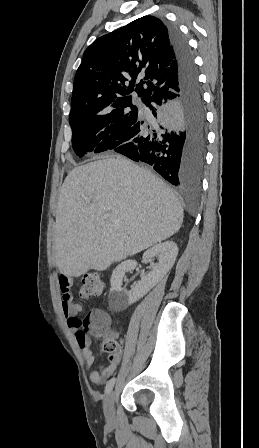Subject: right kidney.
I'll return each mask as SVG.
<instances>
[{"mask_svg": "<svg viewBox=\"0 0 259 448\" xmlns=\"http://www.w3.org/2000/svg\"><path fill=\"white\" fill-rule=\"evenodd\" d=\"M178 256V248L175 242H163L156 244L150 250L143 254L144 260L151 262V272L146 276H141L140 282L132 288V290H124L121 288L123 278L126 272L135 270L137 262L135 260H126L121 262L111 276V290L108 296L109 308L112 312H123L130 304H134L143 296H146L149 290H152L160 280L168 274L173 268L175 260ZM153 258H158V264H153Z\"/></svg>", "mask_w": 259, "mask_h": 448, "instance_id": "obj_1", "label": "right kidney"}]
</instances>
